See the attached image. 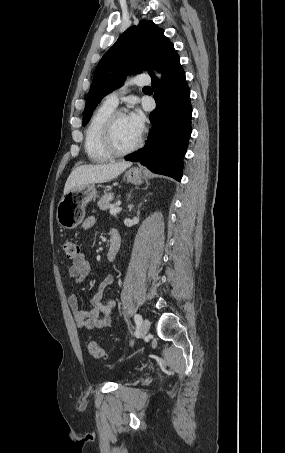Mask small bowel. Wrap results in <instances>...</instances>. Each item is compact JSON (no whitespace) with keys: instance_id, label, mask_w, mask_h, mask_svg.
Here are the masks:
<instances>
[{"instance_id":"1","label":"small bowel","mask_w":285,"mask_h":453,"mask_svg":"<svg viewBox=\"0 0 285 453\" xmlns=\"http://www.w3.org/2000/svg\"><path fill=\"white\" fill-rule=\"evenodd\" d=\"M95 218L86 219L83 226L90 228L94 225ZM112 237H119L116 231L111 232ZM91 266L86 260L85 255L81 253L69 267V276L75 284L82 283L89 275ZM113 283V276L107 275L99 286L98 291L91 300L92 308L89 311H84L79 308L78 299L75 293H70L68 296V304L71 309L72 316L78 328L86 330H95L108 328L113 322V310L115 301L113 299L103 300L104 289Z\"/></svg>"}]
</instances>
